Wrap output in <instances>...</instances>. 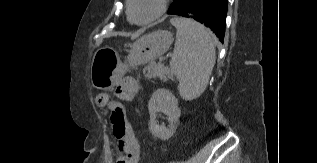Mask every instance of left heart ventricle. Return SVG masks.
Listing matches in <instances>:
<instances>
[{"instance_id": "1", "label": "left heart ventricle", "mask_w": 317, "mask_h": 163, "mask_svg": "<svg viewBox=\"0 0 317 163\" xmlns=\"http://www.w3.org/2000/svg\"><path fill=\"white\" fill-rule=\"evenodd\" d=\"M158 9V0H133L132 16L142 21L153 16Z\"/></svg>"}]
</instances>
